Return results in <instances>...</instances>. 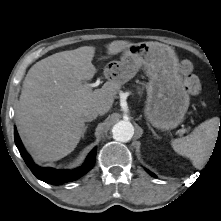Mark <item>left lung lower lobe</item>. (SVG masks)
Masks as SVG:
<instances>
[{"label": "left lung lower lobe", "mask_w": 221, "mask_h": 221, "mask_svg": "<svg viewBox=\"0 0 221 221\" xmlns=\"http://www.w3.org/2000/svg\"><path fill=\"white\" fill-rule=\"evenodd\" d=\"M219 143H221V139H219ZM151 175L155 176L153 173H151L150 171H148Z\"/></svg>", "instance_id": "0a47b994"}]
</instances>
